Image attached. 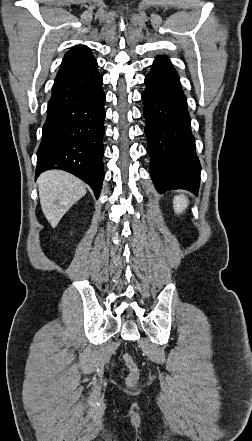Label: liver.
Returning <instances> with one entry per match:
<instances>
[{
  "label": "liver",
  "instance_id": "obj_1",
  "mask_svg": "<svg viewBox=\"0 0 252 441\" xmlns=\"http://www.w3.org/2000/svg\"><path fill=\"white\" fill-rule=\"evenodd\" d=\"M37 184L42 211L53 228L73 204L86 194L83 181L61 170L42 173Z\"/></svg>",
  "mask_w": 252,
  "mask_h": 441
}]
</instances>
